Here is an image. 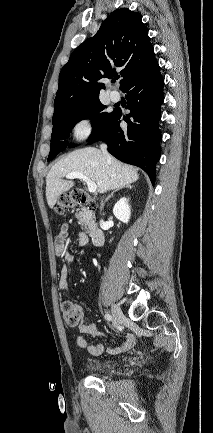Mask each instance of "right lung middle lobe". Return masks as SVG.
Listing matches in <instances>:
<instances>
[{
	"instance_id": "right-lung-middle-lobe-1",
	"label": "right lung middle lobe",
	"mask_w": 213,
	"mask_h": 433,
	"mask_svg": "<svg viewBox=\"0 0 213 433\" xmlns=\"http://www.w3.org/2000/svg\"><path fill=\"white\" fill-rule=\"evenodd\" d=\"M104 108L105 106L100 102L99 97H97L66 108L53 117L51 148L48 161H51L60 151L66 148V139L77 122L83 119H92V134L88 140L99 134L106 127L113 114V112H103Z\"/></svg>"
}]
</instances>
